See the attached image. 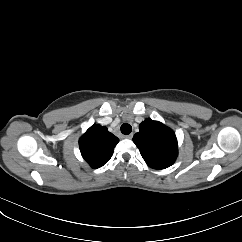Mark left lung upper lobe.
<instances>
[{"instance_id":"left-lung-upper-lobe-1","label":"left lung upper lobe","mask_w":242,"mask_h":242,"mask_svg":"<svg viewBox=\"0 0 242 242\" xmlns=\"http://www.w3.org/2000/svg\"><path fill=\"white\" fill-rule=\"evenodd\" d=\"M133 142L151 168L165 169L177 158L175 133L161 122L145 119L139 125V132L134 135Z\"/></svg>"}]
</instances>
